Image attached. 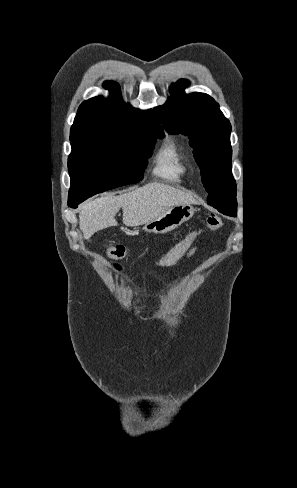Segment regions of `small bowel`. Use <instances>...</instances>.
Here are the masks:
<instances>
[{
	"label": "small bowel",
	"mask_w": 297,
	"mask_h": 488,
	"mask_svg": "<svg viewBox=\"0 0 297 488\" xmlns=\"http://www.w3.org/2000/svg\"><path fill=\"white\" fill-rule=\"evenodd\" d=\"M196 252H197V247L193 246L189 249V251L185 254L184 257L189 258V257L195 255Z\"/></svg>",
	"instance_id": "obj_1"
}]
</instances>
